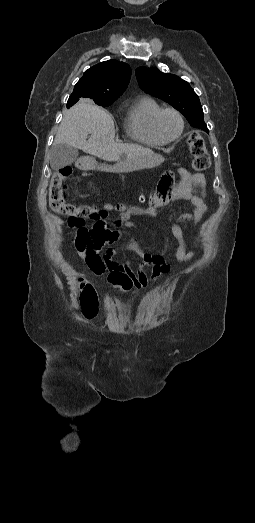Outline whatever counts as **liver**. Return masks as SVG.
Instances as JSON below:
<instances>
[{"mask_svg":"<svg viewBox=\"0 0 255 523\" xmlns=\"http://www.w3.org/2000/svg\"><path fill=\"white\" fill-rule=\"evenodd\" d=\"M89 134L91 136L87 140ZM114 138L115 126L110 114L90 100H80L66 112L54 144H68L107 162H120L123 154L126 160L148 158L153 168L164 162V158L160 154H153L150 148H142L137 144H117ZM119 166H111L110 172H118Z\"/></svg>","mask_w":255,"mask_h":523,"instance_id":"obj_1","label":"liver"}]
</instances>
